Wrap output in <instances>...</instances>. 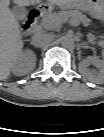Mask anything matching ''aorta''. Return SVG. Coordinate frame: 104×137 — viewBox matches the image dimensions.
I'll return each mask as SVG.
<instances>
[{
	"label": "aorta",
	"mask_w": 104,
	"mask_h": 137,
	"mask_svg": "<svg viewBox=\"0 0 104 137\" xmlns=\"http://www.w3.org/2000/svg\"><path fill=\"white\" fill-rule=\"evenodd\" d=\"M60 42H61L62 46L65 48H72L75 45L74 38L69 35H65V36L61 37Z\"/></svg>",
	"instance_id": "aorta-1"
}]
</instances>
